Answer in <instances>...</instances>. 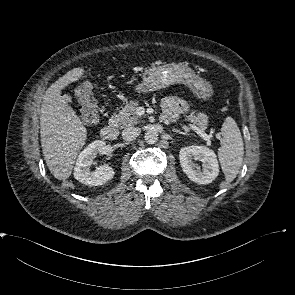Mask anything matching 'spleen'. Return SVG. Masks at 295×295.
I'll return each instance as SVG.
<instances>
[{
	"label": "spleen",
	"mask_w": 295,
	"mask_h": 295,
	"mask_svg": "<svg viewBox=\"0 0 295 295\" xmlns=\"http://www.w3.org/2000/svg\"><path fill=\"white\" fill-rule=\"evenodd\" d=\"M222 144L218 158L226 183H231L239 173L244 155L241 132L232 117H227L221 128Z\"/></svg>",
	"instance_id": "spleen-1"
}]
</instances>
